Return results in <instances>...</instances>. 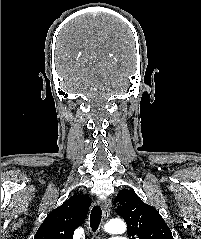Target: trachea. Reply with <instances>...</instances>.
<instances>
[{
  "label": "trachea",
  "mask_w": 201,
  "mask_h": 239,
  "mask_svg": "<svg viewBox=\"0 0 201 239\" xmlns=\"http://www.w3.org/2000/svg\"><path fill=\"white\" fill-rule=\"evenodd\" d=\"M102 218V209L100 206H94L90 214V227L93 232H96L99 228Z\"/></svg>",
  "instance_id": "obj_1"
}]
</instances>
